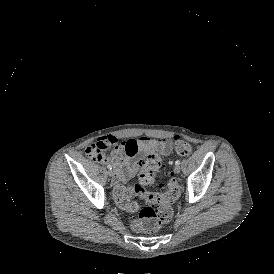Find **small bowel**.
I'll use <instances>...</instances> for the list:
<instances>
[{
  "instance_id": "small-bowel-1",
  "label": "small bowel",
  "mask_w": 274,
  "mask_h": 274,
  "mask_svg": "<svg viewBox=\"0 0 274 274\" xmlns=\"http://www.w3.org/2000/svg\"><path fill=\"white\" fill-rule=\"evenodd\" d=\"M184 141L181 137L174 139V144ZM171 139H154L142 136L119 141L113 136H104L86 148V155L94 162L112 166L113 182H127L141 169L144 160L151 155L166 154L172 147ZM111 148L109 154L105 150Z\"/></svg>"
}]
</instances>
